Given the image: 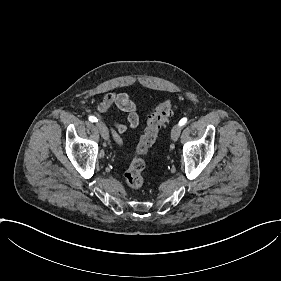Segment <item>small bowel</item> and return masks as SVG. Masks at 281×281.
<instances>
[{
	"instance_id": "obj_1",
	"label": "small bowel",
	"mask_w": 281,
	"mask_h": 281,
	"mask_svg": "<svg viewBox=\"0 0 281 281\" xmlns=\"http://www.w3.org/2000/svg\"><path fill=\"white\" fill-rule=\"evenodd\" d=\"M112 109L121 110L128 123L124 124L119 121H113L112 126L116 134H123L129 128H136L139 124V118L136 112V105L125 93L119 91L110 92L103 101L98 105L97 111L103 115Z\"/></svg>"
}]
</instances>
